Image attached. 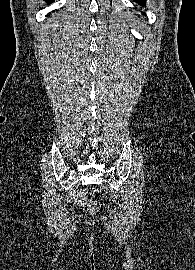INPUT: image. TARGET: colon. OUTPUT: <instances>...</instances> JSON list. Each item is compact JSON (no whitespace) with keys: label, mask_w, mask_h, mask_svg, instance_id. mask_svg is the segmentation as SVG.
<instances>
[{"label":"colon","mask_w":195,"mask_h":270,"mask_svg":"<svg viewBox=\"0 0 195 270\" xmlns=\"http://www.w3.org/2000/svg\"><path fill=\"white\" fill-rule=\"evenodd\" d=\"M77 202L83 205L90 213H96L98 211V204L96 201L90 199L86 195H80L77 198Z\"/></svg>","instance_id":"obj_1"}]
</instances>
